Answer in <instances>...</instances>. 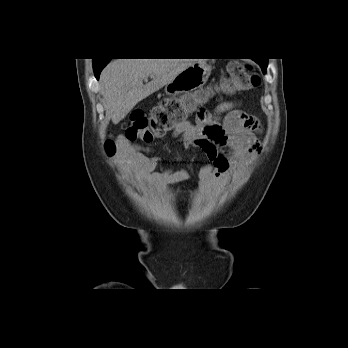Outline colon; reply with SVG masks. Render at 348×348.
<instances>
[{"instance_id":"colon-1","label":"colon","mask_w":348,"mask_h":348,"mask_svg":"<svg viewBox=\"0 0 348 348\" xmlns=\"http://www.w3.org/2000/svg\"><path fill=\"white\" fill-rule=\"evenodd\" d=\"M228 70L230 82L226 89L229 91H246L259 85V76L251 71L250 66L241 62H232L229 64ZM191 106L188 99L165 97L149 116L141 110H134L130 113L125 125L124 137L129 141L152 142L185 123ZM199 119L198 111L196 120ZM105 150L109 156H114L117 152L116 142L113 140L107 141Z\"/></svg>"}]
</instances>
